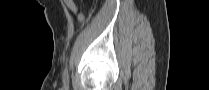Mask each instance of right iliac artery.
I'll use <instances>...</instances> for the list:
<instances>
[{
    "label": "right iliac artery",
    "instance_id": "1",
    "mask_svg": "<svg viewBox=\"0 0 209 90\" xmlns=\"http://www.w3.org/2000/svg\"><path fill=\"white\" fill-rule=\"evenodd\" d=\"M63 83H64L65 90H68V87H69V75H68L67 68L64 70V73H63Z\"/></svg>",
    "mask_w": 209,
    "mask_h": 90
}]
</instances>
